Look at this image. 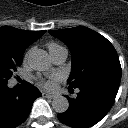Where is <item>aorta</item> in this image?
Segmentation results:
<instances>
[{
  "instance_id": "aorta-1",
  "label": "aorta",
  "mask_w": 128,
  "mask_h": 128,
  "mask_svg": "<svg viewBox=\"0 0 128 128\" xmlns=\"http://www.w3.org/2000/svg\"><path fill=\"white\" fill-rule=\"evenodd\" d=\"M30 66L37 71H47L52 67L51 59L46 51L38 50L29 55ZM52 108L57 113H64L69 108V101L62 95H57L53 98Z\"/></svg>"
}]
</instances>
